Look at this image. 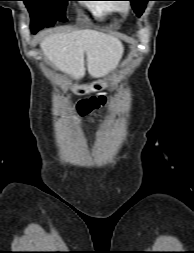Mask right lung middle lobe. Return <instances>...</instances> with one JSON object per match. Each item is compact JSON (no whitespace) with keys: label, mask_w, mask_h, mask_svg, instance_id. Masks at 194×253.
Returning <instances> with one entry per match:
<instances>
[{"label":"right lung middle lobe","mask_w":194,"mask_h":253,"mask_svg":"<svg viewBox=\"0 0 194 253\" xmlns=\"http://www.w3.org/2000/svg\"><path fill=\"white\" fill-rule=\"evenodd\" d=\"M31 16V28L37 32L53 26L56 20L66 21L65 10L70 0H23Z\"/></svg>","instance_id":"obj_1"}]
</instances>
